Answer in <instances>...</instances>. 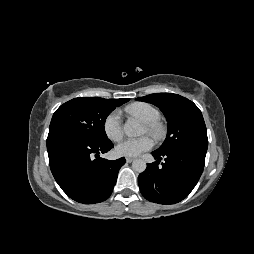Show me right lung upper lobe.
<instances>
[{"mask_svg":"<svg viewBox=\"0 0 254 254\" xmlns=\"http://www.w3.org/2000/svg\"><path fill=\"white\" fill-rule=\"evenodd\" d=\"M111 102L114 104V105H117V106H120L124 103H126L127 101H129L128 98H122V99H110Z\"/></svg>","mask_w":254,"mask_h":254,"instance_id":"1","label":"right lung upper lobe"}]
</instances>
